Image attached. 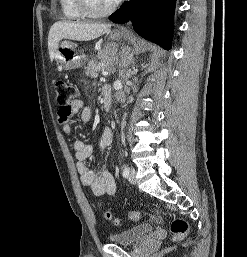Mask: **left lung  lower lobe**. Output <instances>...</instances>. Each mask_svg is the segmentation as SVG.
Instances as JSON below:
<instances>
[{"instance_id":"obj_1","label":"left lung lower lobe","mask_w":247,"mask_h":257,"mask_svg":"<svg viewBox=\"0 0 247 257\" xmlns=\"http://www.w3.org/2000/svg\"><path fill=\"white\" fill-rule=\"evenodd\" d=\"M176 0H130L109 16L116 23L131 20L143 38L170 49Z\"/></svg>"}]
</instances>
